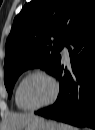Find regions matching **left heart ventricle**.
<instances>
[{
  "label": "left heart ventricle",
  "mask_w": 95,
  "mask_h": 130,
  "mask_svg": "<svg viewBox=\"0 0 95 130\" xmlns=\"http://www.w3.org/2000/svg\"><path fill=\"white\" fill-rule=\"evenodd\" d=\"M53 93L52 83L43 76L29 78L21 88V101L28 107H37L47 102Z\"/></svg>",
  "instance_id": "1"
}]
</instances>
